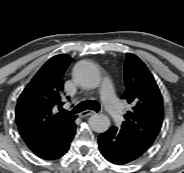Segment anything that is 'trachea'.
I'll list each match as a JSON object with an SVG mask.
<instances>
[{"instance_id": "1", "label": "trachea", "mask_w": 184, "mask_h": 173, "mask_svg": "<svg viewBox=\"0 0 184 173\" xmlns=\"http://www.w3.org/2000/svg\"><path fill=\"white\" fill-rule=\"evenodd\" d=\"M87 109H91L98 112L100 110V105L95 100H85L80 102L77 106L74 107L71 112H68L67 114H77Z\"/></svg>"}]
</instances>
